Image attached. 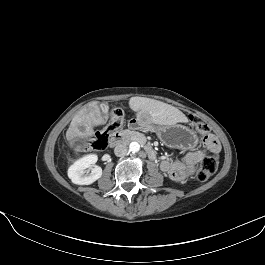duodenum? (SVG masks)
<instances>
[{"instance_id": "obj_1", "label": "duodenum", "mask_w": 265, "mask_h": 265, "mask_svg": "<svg viewBox=\"0 0 265 265\" xmlns=\"http://www.w3.org/2000/svg\"><path fill=\"white\" fill-rule=\"evenodd\" d=\"M127 138H133L139 142H144V138L142 137V135L133 133L132 131L129 130H123L120 132H116L115 134L112 135L110 139V145L112 147L117 146ZM145 151L151 160H157V154L152 147L145 144Z\"/></svg>"}]
</instances>
